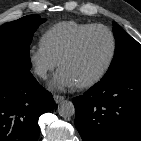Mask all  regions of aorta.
Returning <instances> with one entry per match:
<instances>
[{"label": "aorta", "instance_id": "1", "mask_svg": "<svg viewBox=\"0 0 141 141\" xmlns=\"http://www.w3.org/2000/svg\"><path fill=\"white\" fill-rule=\"evenodd\" d=\"M57 111L60 116L68 118L75 114V107L71 101L64 100L58 105Z\"/></svg>", "mask_w": 141, "mask_h": 141}]
</instances>
